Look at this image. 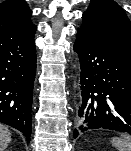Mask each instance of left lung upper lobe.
<instances>
[{"label":"left lung upper lobe","instance_id":"1","mask_svg":"<svg viewBox=\"0 0 131 151\" xmlns=\"http://www.w3.org/2000/svg\"><path fill=\"white\" fill-rule=\"evenodd\" d=\"M78 29L84 37L131 58V23L113 0H91Z\"/></svg>","mask_w":131,"mask_h":151}]
</instances>
